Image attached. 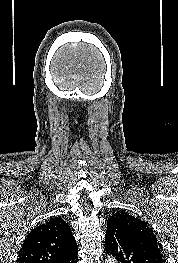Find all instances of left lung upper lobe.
Listing matches in <instances>:
<instances>
[{
    "label": "left lung upper lobe",
    "mask_w": 178,
    "mask_h": 263,
    "mask_svg": "<svg viewBox=\"0 0 178 263\" xmlns=\"http://www.w3.org/2000/svg\"><path fill=\"white\" fill-rule=\"evenodd\" d=\"M109 219H115V220L119 221L120 223L124 224L125 226L140 230V231L146 233L147 235L156 239V236L154 235V233L150 229V227L147 225V223L140 220L137 217L131 216L127 213L117 212V213L113 214L112 216H110Z\"/></svg>",
    "instance_id": "left-lung-upper-lobe-1"
}]
</instances>
